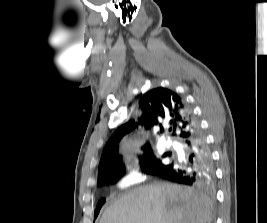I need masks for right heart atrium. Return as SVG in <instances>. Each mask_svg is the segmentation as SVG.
<instances>
[{
	"label": "right heart atrium",
	"instance_id": "1",
	"mask_svg": "<svg viewBox=\"0 0 267 223\" xmlns=\"http://www.w3.org/2000/svg\"><path fill=\"white\" fill-rule=\"evenodd\" d=\"M146 178L145 170L139 166L120 174L116 182V188L119 190L129 189L142 183Z\"/></svg>",
	"mask_w": 267,
	"mask_h": 223
}]
</instances>
